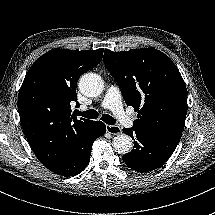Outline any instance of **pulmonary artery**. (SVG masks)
<instances>
[{"mask_svg": "<svg viewBox=\"0 0 215 215\" xmlns=\"http://www.w3.org/2000/svg\"><path fill=\"white\" fill-rule=\"evenodd\" d=\"M102 107L109 108L114 112L117 116V125L123 129L129 128L136 117V114L133 111L124 112L119 89L115 86H110L107 89L102 102ZM80 110H85V108L82 107Z\"/></svg>", "mask_w": 215, "mask_h": 215, "instance_id": "1", "label": "pulmonary artery"}]
</instances>
